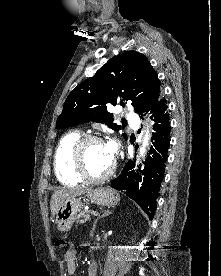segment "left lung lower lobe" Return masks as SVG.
<instances>
[{"mask_svg": "<svg viewBox=\"0 0 221 276\" xmlns=\"http://www.w3.org/2000/svg\"><path fill=\"white\" fill-rule=\"evenodd\" d=\"M151 119L154 121L153 142L144 162L145 166L135 172L134 162L128 161L121 174L111 182V186L137 202L149 218L153 219L170 145L171 126L165 98L160 97L152 108Z\"/></svg>", "mask_w": 221, "mask_h": 276, "instance_id": "obj_1", "label": "left lung lower lobe"}]
</instances>
